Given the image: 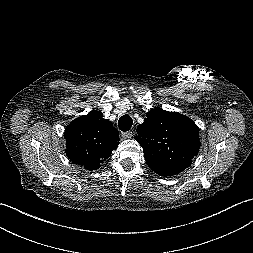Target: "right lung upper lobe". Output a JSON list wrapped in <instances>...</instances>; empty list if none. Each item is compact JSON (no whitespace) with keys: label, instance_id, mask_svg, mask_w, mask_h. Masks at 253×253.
Instances as JSON below:
<instances>
[{"label":"right lung upper lobe","instance_id":"cb5924a9","mask_svg":"<svg viewBox=\"0 0 253 253\" xmlns=\"http://www.w3.org/2000/svg\"><path fill=\"white\" fill-rule=\"evenodd\" d=\"M64 137L67 157L90 171L98 169L119 144L118 130L97 110L72 121Z\"/></svg>","mask_w":253,"mask_h":253}]
</instances>
